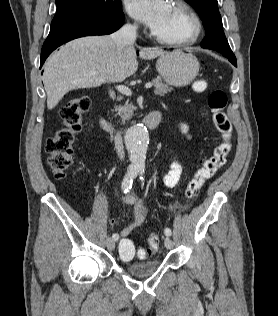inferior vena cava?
<instances>
[{
	"mask_svg": "<svg viewBox=\"0 0 278 316\" xmlns=\"http://www.w3.org/2000/svg\"><path fill=\"white\" fill-rule=\"evenodd\" d=\"M136 37V26L131 24L122 26L118 31L111 35V39L116 43L118 50L123 49L125 46L133 45V43L136 41ZM110 96L114 98V92L110 91ZM114 143L118 157L120 160H122L125 156V153L122 137L120 134H117L114 137Z\"/></svg>",
	"mask_w": 278,
	"mask_h": 316,
	"instance_id": "inferior-vena-cava-1",
	"label": "inferior vena cava"
}]
</instances>
